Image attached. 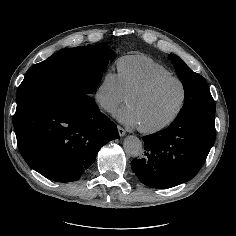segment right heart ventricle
<instances>
[{
  "label": "right heart ventricle",
  "instance_id": "e07e8e85",
  "mask_svg": "<svg viewBox=\"0 0 236 236\" xmlns=\"http://www.w3.org/2000/svg\"><path fill=\"white\" fill-rule=\"evenodd\" d=\"M116 64L122 87L128 95L155 78L173 76L167 67L146 55L123 56Z\"/></svg>",
  "mask_w": 236,
  "mask_h": 236
}]
</instances>
